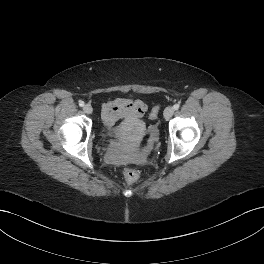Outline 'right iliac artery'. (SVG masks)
I'll return each instance as SVG.
<instances>
[{
	"label": "right iliac artery",
	"instance_id": "82829eb1",
	"mask_svg": "<svg viewBox=\"0 0 264 264\" xmlns=\"http://www.w3.org/2000/svg\"><path fill=\"white\" fill-rule=\"evenodd\" d=\"M79 106L83 107L84 106V102L83 101H79Z\"/></svg>",
	"mask_w": 264,
	"mask_h": 264
}]
</instances>
